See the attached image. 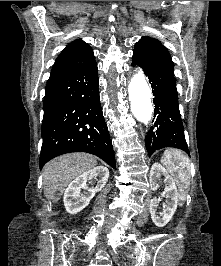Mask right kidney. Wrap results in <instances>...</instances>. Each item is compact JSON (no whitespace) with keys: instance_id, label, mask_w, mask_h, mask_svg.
<instances>
[{"instance_id":"right-kidney-1","label":"right kidney","mask_w":221,"mask_h":266,"mask_svg":"<svg viewBox=\"0 0 221 266\" xmlns=\"http://www.w3.org/2000/svg\"><path fill=\"white\" fill-rule=\"evenodd\" d=\"M108 177V168L100 165L74 179L64 193L63 201L67 212L75 214L83 210L95 193L99 192L106 185ZM87 183H92L95 187L89 188ZM82 190L85 191L82 192Z\"/></svg>"}]
</instances>
